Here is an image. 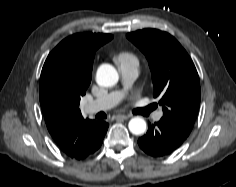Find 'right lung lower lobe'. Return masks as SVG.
<instances>
[{
  "label": "right lung lower lobe",
  "mask_w": 236,
  "mask_h": 187,
  "mask_svg": "<svg viewBox=\"0 0 236 187\" xmlns=\"http://www.w3.org/2000/svg\"><path fill=\"white\" fill-rule=\"evenodd\" d=\"M108 126L109 124L104 121H99L97 123L88 150L82 159H85L86 157L92 155L95 151L99 149L102 144L103 138L107 132Z\"/></svg>",
  "instance_id": "obj_1"
}]
</instances>
